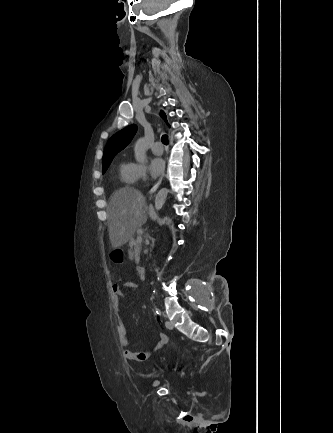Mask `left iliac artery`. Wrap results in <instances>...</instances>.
<instances>
[{
    "label": "left iliac artery",
    "mask_w": 333,
    "mask_h": 433,
    "mask_svg": "<svg viewBox=\"0 0 333 433\" xmlns=\"http://www.w3.org/2000/svg\"><path fill=\"white\" fill-rule=\"evenodd\" d=\"M155 310H156V314L159 315V314H160V311H159L157 308H156Z\"/></svg>",
    "instance_id": "1"
}]
</instances>
